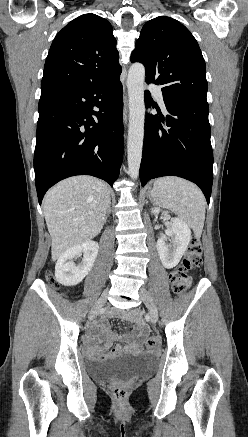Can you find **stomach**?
<instances>
[{
    "mask_svg": "<svg viewBox=\"0 0 248 437\" xmlns=\"http://www.w3.org/2000/svg\"><path fill=\"white\" fill-rule=\"evenodd\" d=\"M153 192H154V191H153V189H152V190L150 191V193H151V198H152V194H153Z\"/></svg>",
    "mask_w": 248,
    "mask_h": 437,
    "instance_id": "1",
    "label": "stomach"
}]
</instances>
